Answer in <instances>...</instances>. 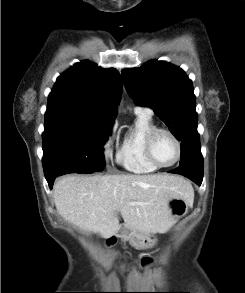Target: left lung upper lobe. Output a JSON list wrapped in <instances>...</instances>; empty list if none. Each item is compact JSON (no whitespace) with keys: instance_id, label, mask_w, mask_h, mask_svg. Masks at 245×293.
<instances>
[{"instance_id":"obj_1","label":"left lung upper lobe","mask_w":245,"mask_h":293,"mask_svg":"<svg viewBox=\"0 0 245 293\" xmlns=\"http://www.w3.org/2000/svg\"><path fill=\"white\" fill-rule=\"evenodd\" d=\"M123 82L137 104L152 108L181 141L180 166L203 170L198 115L192 81L185 72L164 61H148L124 69Z\"/></svg>"}]
</instances>
